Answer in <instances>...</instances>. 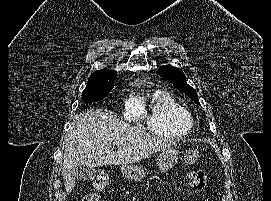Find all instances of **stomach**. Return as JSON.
Wrapping results in <instances>:
<instances>
[{"label":"stomach","instance_id":"1","mask_svg":"<svg viewBox=\"0 0 271 201\" xmlns=\"http://www.w3.org/2000/svg\"><path fill=\"white\" fill-rule=\"evenodd\" d=\"M179 151L173 147H167L157 156V165L161 172H166L172 168L178 161ZM122 175L131 181L139 182L143 180L147 174L146 170L137 165H124L121 168Z\"/></svg>","mask_w":271,"mask_h":201}]
</instances>
